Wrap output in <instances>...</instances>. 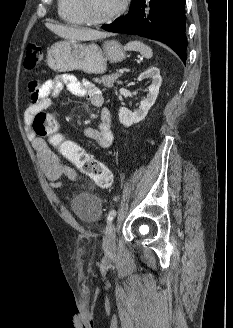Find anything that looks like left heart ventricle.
Listing matches in <instances>:
<instances>
[{"label":"left heart ventricle","mask_w":233,"mask_h":328,"mask_svg":"<svg viewBox=\"0 0 233 328\" xmlns=\"http://www.w3.org/2000/svg\"><path fill=\"white\" fill-rule=\"evenodd\" d=\"M122 0H86L89 14L94 18H102L113 12Z\"/></svg>","instance_id":"left-heart-ventricle-1"}]
</instances>
